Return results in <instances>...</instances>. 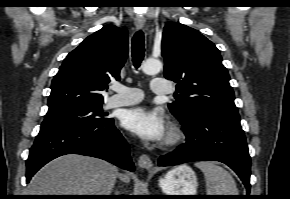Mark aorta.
Listing matches in <instances>:
<instances>
[{
    "instance_id": "762f6f07",
    "label": "aorta",
    "mask_w": 290,
    "mask_h": 199,
    "mask_svg": "<svg viewBox=\"0 0 290 199\" xmlns=\"http://www.w3.org/2000/svg\"><path fill=\"white\" fill-rule=\"evenodd\" d=\"M162 67L160 60L149 58L142 64V71L147 75H155L162 70Z\"/></svg>"
}]
</instances>
